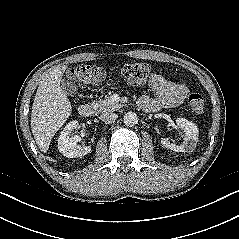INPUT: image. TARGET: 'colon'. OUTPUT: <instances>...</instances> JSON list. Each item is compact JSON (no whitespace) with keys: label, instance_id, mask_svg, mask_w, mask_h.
Masks as SVG:
<instances>
[{"label":"colon","instance_id":"colon-1","mask_svg":"<svg viewBox=\"0 0 239 239\" xmlns=\"http://www.w3.org/2000/svg\"><path fill=\"white\" fill-rule=\"evenodd\" d=\"M104 71L99 67L79 65L68 71V78L80 85L98 82L104 78ZM149 75V67L142 62H133L123 65L120 69L121 78L130 85L143 84ZM191 111L197 115L204 113L205 100L202 95L192 93L187 98Z\"/></svg>","mask_w":239,"mask_h":239}]
</instances>
